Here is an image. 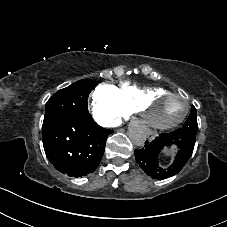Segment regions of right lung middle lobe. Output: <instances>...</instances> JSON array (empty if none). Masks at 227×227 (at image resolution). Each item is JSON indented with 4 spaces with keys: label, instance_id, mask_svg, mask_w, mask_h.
<instances>
[{
    "label": "right lung middle lobe",
    "instance_id": "1",
    "mask_svg": "<svg viewBox=\"0 0 227 227\" xmlns=\"http://www.w3.org/2000/svg\"><path fill=\"white\" fill-rule=\"evenodd\" d=\"M96 83L83 79L56 92L45 105L43 126L61 118L89 114L88 96Z\"/></svg>",
    "mask_w": 227,
    "mask_h": 227
}]
</instances>
